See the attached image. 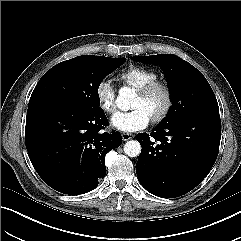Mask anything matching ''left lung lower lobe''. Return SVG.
<instances>
[{
	"instance_id": "1",
	"label": "left lung lower lobe",
	"mask_w": 241,
	"mask_h": 241,
	"mask_svg": "<svg viewBox=\"0 0 241 241\" xmlns=\"http://www.w3.org/2000/svg\"><path fill=\"white\" fill-rule=\"evenodd\" d=\"M220 117L194 115L139 133L142 150L136 164L141 185L162 198L194 189L210 172L219 151Z\"/></svg>"
}]
</instances>
